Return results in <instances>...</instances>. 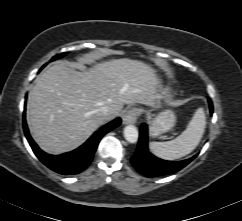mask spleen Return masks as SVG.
Segmentation results:
<instances>
[{"label":"spleen","instance_id":"spleen-1","mask_svg":"<svg viewBox=\"0 0 242 221\" xmlns=\"http://www.w3.org/2000/svg\"><path fill=\"white\" fill-rule=\"evenodd\" d=\"M206 126L204 109L198 108L187 128L175 139L166 142H150L151 152L165 160H176L191 153L201 141Z\"/></svg>","mask_w":242,"mask_h":221}]
</instances>
